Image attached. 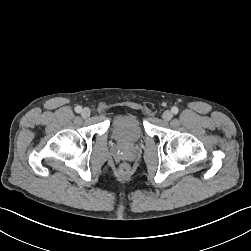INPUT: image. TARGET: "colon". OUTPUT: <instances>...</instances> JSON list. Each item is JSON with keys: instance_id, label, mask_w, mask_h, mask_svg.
Masks as SVG:
<instances>
[{"instance_id": "5ec220e1", "label": "colon", "mask_w": 251, "mask_h": 251, "mask_svg": "<svg viewBox=\"0 0 251 251\" xmlns=\"http://www.w3.org/2000/svg\"><path fill=\"white\" fill-rule=\"evenodd\" d=\"M127 171H128L127 164H121L120 167H119V172L122 173V174H125V173H127Z\"/></svg>"}]
</instances>
